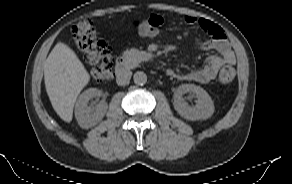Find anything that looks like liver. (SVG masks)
Instances as JSON below:
<instances>
[{
	"instance_id": "1",
	"label": "liver",
	"mask_w": 292,
	"mask_h": 184,
	"mask_svg": "<svg viewBox=\"0 0 292 184\" xmlns=\"http://www.w3.org/2000/svg\"><path fill=\"white\" fill-rule=\"evenodd\" d=\"M90 75L75 52L58 42L44 64V81L52 107L65 122H71L76 99Z\"/></svg>"
}]
</instances>
